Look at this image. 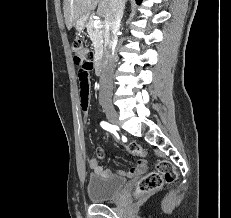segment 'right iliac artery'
I'll return each mask as SVG.
<instances>
[{
    "mask_svg": "<svg viewBox=\"0 0 231 218\" xmlns=\"http://www.w3.org/2000/svg\"><path fill=\"white\" fill-rule=\"evenodd\" d=\"M101 127L104 128L105 130L107 131H110L111 133H113L117 138L118 137V134L116 132V127L114 125H111L110 123L108 122H105V121H102L101 122Z\"/></svg>",
    "mask_w": 231,
    "mask_h": 218,
    "instance_id": "1",
    "label": "right iliac artery"
}]
</instances>
